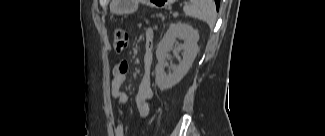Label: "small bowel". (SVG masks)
Returning <instances> with one entry per match:
<instances>
[{"label":"small bowel","mask_w":325,"mask_h":136,"mask_svg":"<svg viewBox=\"0 0 325 136\" xmlns=\"http://www.w3.org/2000/svg\"><path fill=\"white\" fill-rule=\"evenodd\" d=\"M154 37V32L148 29L145 32L146 49L143 56V75L139 81L137 93L135 97V103L139 114L146 116L149 112V101L152 98V89L150 82V69L152 64V55L150 47ZM129 65L126 61L117 63L112 69V80H111V97L118 103V113L120 118L123 115L122 107L129 101V95L122 91L121 87L126 81ZM114 133L116 136H124V127L121 123V119L118 120L114 127Z\"/></svg>","instance_id":"small-bowel-1"}]
</instances>
